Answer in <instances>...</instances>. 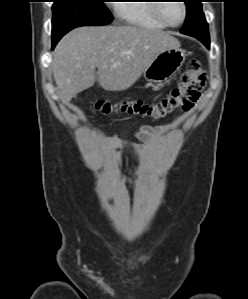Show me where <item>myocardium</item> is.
<instances>
[{
	"instance_id": "f54148a6",
	"label": "myocardium",
	"mask_w": 248,
	"mask_h": 299,
	"mask_svg": "<svg viewBox=\"0 0 248 299\" xmlns=\"http://www.w3.org/2000/svg\"><path fill=\"white\" fill-rule=\"evenodd\" d=\"M158 2H161V1H158ZM181 3V6H182V11H183V14H182V18L181 20L178 22V23H170L163 15L162 13V5L164 3H155L154 5V13H155V16L156 18L162 23L164 24L165 26L167 27H178L180 26L186 19L187 17V6H186V3L184 1H179Z\"/></svg>"
}]
</instances>
